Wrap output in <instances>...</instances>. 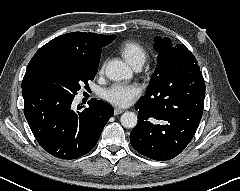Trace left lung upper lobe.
I'll list each match as a JSON object with an SVG mask.
<instances>
[{"instance_id":"5c2ea615","label":"left lung upper lobe","mask_w":240,"mask_h":191,"mask_svg":"<svg viewBox=\"0 0 240 191\" xmlns=\"http://www.w3.org/2000/svg\"><path fill=\"white\" fill-rule=\"evenodd\" d=\"M154 48L159 52L158 64L141 100L150 102L158 96L180 93L188 80L202 76L196 58L184 44L173 46L169 38L156 37Z\"/></svg>"}]
</instances>
